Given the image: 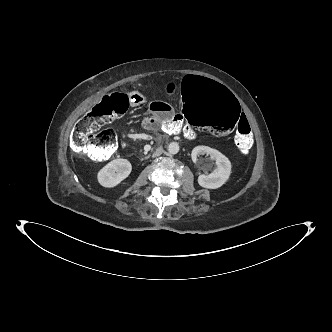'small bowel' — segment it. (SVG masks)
I'll return each mask as SVG.
<instances>
[{
  "mask_svg": "<svg viewBox=\"0 0 332 332\" xmlns=\"http://www.w3.org/2000/svg\"><path fill=\"white\" fill-rule=\"evenodd\" d=\"M135 94L138 98V101L136 102L134 100L133 105H139V104H142V103L145 102V98L142 94H140V93H135ZM174 115L175 114H174V111L172 109V106L168 102H165V101L151 102L149 104V115L144 118V120L142 122V127L147 131H154L160 126L162 121L172 120L174 118ZM155 121L159 122L158 126L153 125V123ZM177 123L179 125H181L180 120H177ZM184 130H187L191 134L192 138H194L195 132H194L193 129H191L190 127L189 128L184 127ZM227 135H225V136H227ZM221 137H224V136H221Z\"/></svg>",
  "mask_w": 332,
  "mask_h": 332,
  "instance_id": "obj_1",
  "label": "small bowel"
}]
</instances>
